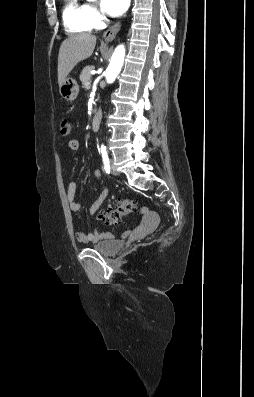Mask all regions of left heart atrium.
Listing matches in <instances>:
<instances>
[{
    "mask_svg": "<svg viewBox=\"0 0 254 397\" xmlns=\"http://www.w3.org/2000/svg\"><path fill=\"white\" fill-rule=\"evenodd\" d=\"M130 0H101L102 10L110 16H120L128 6Z\"/></svg>",
    "mask_w": 254,
    "mask_h": 397,
    "instance_id": "39dd6f15",
    "label": "left heart atrium"
}]
</instances>
